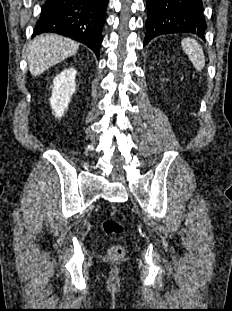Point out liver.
<instances>
[{"label":"liver","mask_w":232,"mask_h":311,"mask_svg":"<svg viewBox=\"0 0 232 311\" xmlns=\"http://www.w3.org/2000/svg\"><path fill=\"white\" fill-rule=\"evenodd\" d=\"M79 48L75 41L57 34L34 38L27 49L29 71L33 76L74 55Z\"/></svg>","instance_id":"liver-1"}]
</instances>
